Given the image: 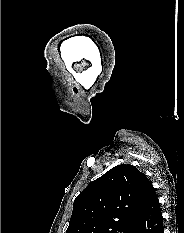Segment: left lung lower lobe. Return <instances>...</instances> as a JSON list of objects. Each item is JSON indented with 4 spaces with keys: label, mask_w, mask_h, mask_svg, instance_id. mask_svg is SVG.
I'll use <instances>...</instances> for the list:
<instances>
[{
    "label": "left lung lower lobe",
    "mask_w": 184,
    "mask_h": 233,
    "mask_svg": "<svg viewBox=\"0 0 184 233\" xmlns=\"http://www.w3.org/2000/svg\"><path fill=\"white\" fill-rule=\"evenodd\" d=\"M132 233H164L160 204L154 192Z\"/></svg>",
    "instance_id": "obj_1"
}]
</instances>
